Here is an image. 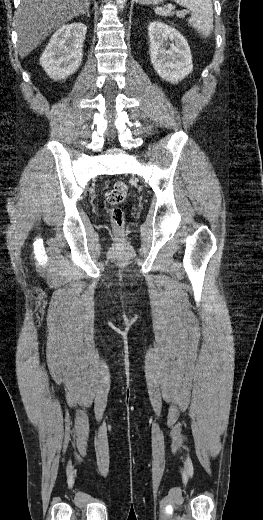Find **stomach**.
I'll use <instances>...</instances> for the list:
<instances>
[{
  "label": "stomach",
  "mask_w": 263,
  "mask_h": 520,
  "mask_svg": "<svg viewBox=\"0 0 263 520\" xmlns=\"http://www.w3.org/2000/svg\"><path fill=\"white\" fill-rule=\"evenodd\" d=\"M164 0H136L139 4L147 5V4H158L163 2Z\"/></svg>",
  "instance_id": "stomach-1"
}]
</instances>
